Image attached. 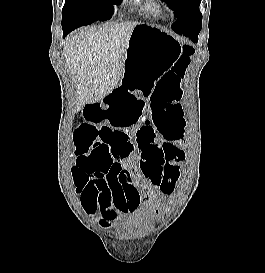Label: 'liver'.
<instances>
[{
  "mask_svg": "<svg viewBox=\"0 0 265 273\" xmlns=\"http://www.w3.org/2000/svg\"><path fill=\"white\" fill-rule=\"evenodd\" d=\"M137 22L88 28L64 44L66 66L76 87L78 109L98 102L118 86L130 36Z\"/></svg>",
  "mask_w": 265,
  "mask_h": 273,
  "instance_id": "liver-1",
  "label": "liver"
}]
</instances>
